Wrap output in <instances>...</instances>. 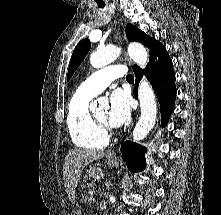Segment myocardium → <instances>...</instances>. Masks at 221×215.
Returning <instances> with one entry per match:
<instances>
[{
	"mask_svg": "<svg viewBox=\"0 0 221 215\" xmlns=\"http://www.w3.org/2000/svg\"><path fill=\"white\" fill-rule=\"evenodd\" d=\"M95 121L97 122V124L99 125L100 129L104 132V133H108L109 132V127L106 121H102L99 118H97V116H93Z\"/></svg>",
	"mask_w": 221,
	"mask_h": 215,
	"instance_id": "myocardium-1",
	"label": "myocardium"
}]
</instances>
